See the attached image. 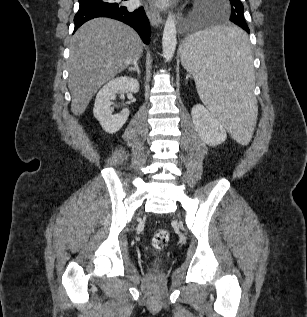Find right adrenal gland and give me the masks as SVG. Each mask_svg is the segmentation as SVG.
<instances>
[{"mask_svg":"<svg viewBox=\"0 0 307 317\" xmlns=\"http://www.w3.org/2000/svg\"><path fill=\"white\" fill-rule=\"evenodd\" d=\"M128 70H129V71L137 72L138 75H140V69H139V66H138V59H136V60L133 62V66L129 67Z\"/></svg>","mask_w":307,"mask_h":317,"instance_id":"right-adrenal-gland-1","label":"right adrenal gland"}]
</instances>
